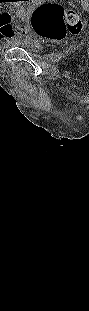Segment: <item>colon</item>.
I'll list each match as a JSON object with an SVG mask.
<instances>
[{"label": "colon", "instance_id": "obj_1", "mask_svg": "<svg viewBox=\"0 0 89 311\" xmlns=\"http://www.w3.org/2000/svg\"><path fill=\"white\" fill-rule=\"evenodd\" d=\"M1 21L5 22L10 30L17 29L22 32L25 28L22 22L13 24L8 13L1 16ZM31 27L40 37L60 40L67 33H79L82 29V19L75 10L66 9L57 3L45 2L34 10L31 17Z\"/></svg>", "mask_w": 89, "mask_h": 311}]
</instances>
